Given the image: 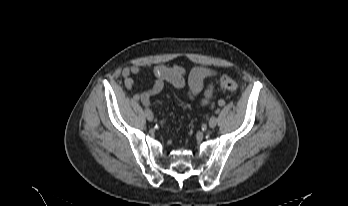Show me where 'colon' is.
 I'll return each mask as SVG.
<instances>
[{
    "label": "colon",
    "instance_id": "colon-1",
    "mask_svg": "<svg viewBox=\"0 0 348 206\" xmlns=\"http://www.w3.org/2000/svg\"><path fill=\"white\" fill-rule=\"evenodd\" d=\"M220 86L223 90L229 91V92H235L238 87L236 81L228 75L222 76L220 80Z\"/></svg>",
    "mask_w": 348,
    "mask_h": 206
}]
</instances>
